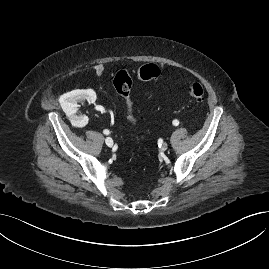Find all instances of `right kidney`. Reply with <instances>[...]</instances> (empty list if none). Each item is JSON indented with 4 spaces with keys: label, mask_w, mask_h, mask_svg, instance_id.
I'll return each mask as SVG.
<instances>
[{
    "label": "right kidney",
    "mask_w": 269,
    "mask_h": 269,
    "mask_svg": "<svg viewBox=\"0 0 269 269\" xmlns=\"http://www.w3.org/2000/svg\"><path fill=\"white\" fill-rule=\"evenodd\" d=\"M87 100L89 103H94L96 100V93L92 89L86 90H73L66 94H63L59 98L60 105L66 115L71 121L78 122L81 126H85L88 123L87 116H77L76 110L78 107V102Z\"/></svg>",
    "instance_id": "ca27d5eb"
}]
</instances>
